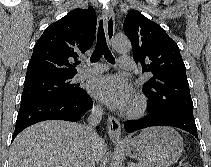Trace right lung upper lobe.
<instances>
[{"label": "right lung upper lobe", "instance_id": "right-lung-upper-lobe-1", "mask_svg": "<svg viewBox=\"0 0 211 167\" xmlns=\"http://www.w3.org/2000/svg\"><path fill=\"white\" fill-rule=\"evenodd\" d=\"M96 21V13L89 7L72 10L49 25L34 46L25 81L75 75L72 65L92 46Z\"/></svg>", "mask_w": 211, "mask_h": 167}]
</instances>
